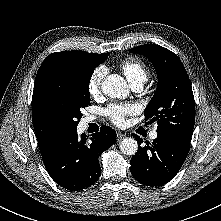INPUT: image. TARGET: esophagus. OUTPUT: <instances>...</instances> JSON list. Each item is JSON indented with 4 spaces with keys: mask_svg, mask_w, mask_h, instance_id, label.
Returning <instances> with one entry per match:
<instances>
[{
    "mask_svg": "<svg viewBox=\"0 0 221 221\" xmlns=\"http://www.w3.org/2000/svg\"><path fill=\"white\" fill-rule=\"evenodd\" d=\"M126 135L122 132H117V140L120 141L122 140Z\"/></svg>",
    "mask_w": 221,
    "mask_h": 221,
    "instance_id": "1",
    "label": "esophagus"
}]
</instances>
